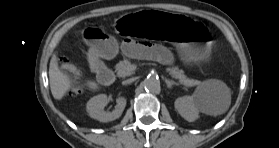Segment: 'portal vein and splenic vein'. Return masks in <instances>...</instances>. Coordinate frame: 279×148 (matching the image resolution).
Returning a JSON list of instances; mask_svg holds the SVG:
<instances>
[{"instance_id": "1", "label": "portal vein and splenic vein", "mask_w": 279, "mask_h": 148, "mask_svg": "<svg viewBox=\"0 0 279 148\" xmlns=\"http://www.w3.org/2000/svg\"><path fill=\"white\" fill-rule=\"evenodd\" d=\"M135 68H136V66H135V65H132V69L135 70ZM184 84H185L186 86H192L191 83H190L189 81H185Z\"/></svg>"}]
</instances>
